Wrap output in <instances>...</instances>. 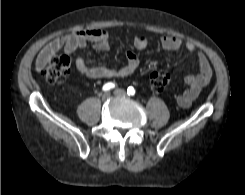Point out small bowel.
<instances>
[{
	"label": "small bowel",
	"mask_w": 245,
	"mask_h": 195,
	"mask_svg": "<svg viewBox=\"0 0 245 195\" xmlns=\"http://www.w3.org/2000/svg\"><path fill=\"white\" fill-rule=\"evenodd\" d=\"M110 34L104 29H87L72 32L66 36L59 37L48 43L36 60V68L42 70L50 57L59 50L71 54L77 50L84 49L89 43L99 51H108L110 49ZM147 39L143 36H137L133 40V46L137 50L147 47ZM163 49L168 51H178L186 49L191 54H196V47L191 42H184L182 39L174 36H164L161 38ZM126 65L122 68H113L104 65H95L88 62L84 56L76 58V68L84 76L89 78H121L127 77L136 72L140 65L138 56L131 50L126 53ZM199 71L189 74L185 77V83L188 88L177 96L176 101L180 107H188L201 93L202 89L209 83L212 77V68L208 58L203 52L197 54Z\"/></svg>",
	"instance_id": "obj_1"
}]
</instances>
